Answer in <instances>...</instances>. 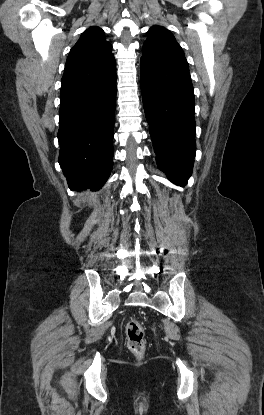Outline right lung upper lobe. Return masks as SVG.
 I'll return each instance as SVG.
<instances>
[{"label": "right lung upper lobe", "mask_w": 264, "mask_h": 415, "mask_svg": "<svg viewBox=\"0 0 264 415\" xmlns=\"http://www.w3.org/2000/svg\"><path fill=\"white\" fill-rule=\"evenodd\" d=\"M103 33L98 27L82 33L67 57L62 87L99 80L116 71L112 46Z\"/></svg>", "instance_id": "right-lung-upper-lobe-1"}]
</instances>
